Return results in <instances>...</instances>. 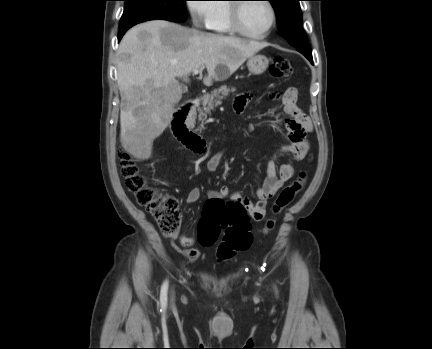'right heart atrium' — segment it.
I'll return each mask as SVG.
<instances>
[{
	"mask_svg": "<svg viewBox=\"0 0 432 349\" xmlns=\"http://www.w3.org/2000/svg\"><path fill=\"white\" fill-rule=\"evenodd\" d=\"M210 0H188L187 9L192 23L197 27L207 25L209 16L212 11Z\"/></svg>",
	"mask_w": 432,
	"mask_h": 349,
	"instance_id": "obj_1",
	"label": "right heart atrium"
}]
</instances>
